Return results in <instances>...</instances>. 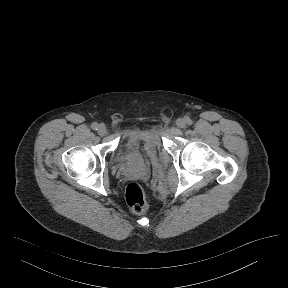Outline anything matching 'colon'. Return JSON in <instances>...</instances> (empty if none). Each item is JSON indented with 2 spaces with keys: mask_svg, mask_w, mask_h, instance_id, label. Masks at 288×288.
I'll return each instance as SVG.
<instances>
[{
  "mask_svg": "<svg viewBox=\"0 0 288 288\" xmlns=\"http://www.w3.org/2000/svg\"><path fill=\"white\" fill-rule=\"evenodd\" d=\"M126 203L129 209L138 215H143L148 209L143 187L137 182H131L126 188Z\"/></svg>",
  "mask_w": 288,
  "mask_h": 288,
  "instance_id": "1",
  "label": "colon"
}]
</instances>
